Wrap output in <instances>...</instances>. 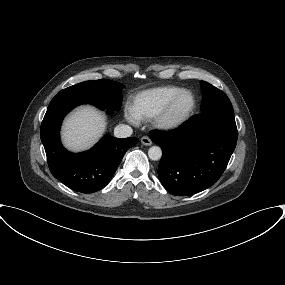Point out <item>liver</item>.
<instances>
[{
  "label": "liver",
  "instance_id": "1",
  "mask_svg": "<svg viewBox=\"0 0 285 285\" xmlns=\"http://www.w3.org/2000/svg\"><path fill=\"white\" fill-rule=\"evenodd\" d=\"M105 116L90 106L80 107L67 117L63 125L66 147L79 151L90 147L105 130Z\"/></svg>",
  "mask_w": 285,
  "mask_h": 285
}]
</instances>
